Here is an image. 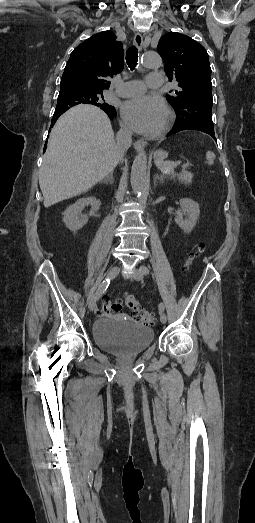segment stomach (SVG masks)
Masks as SVG:
<instances>
[{"instance_id": "0dacf381", "label": "stomach", "mask_w": 255, "mask_h": 523, "mask_svg": "<svg viewBox=\"0 0 255 523\" xmlns=\"http://www.w3.org/2000/svg\"><path fill=\"white\" fill-rule=\"evenodd\" d=\"M155 158H160L161 160V158H164V152H156Z\"/></svg>"}]
</instances>
